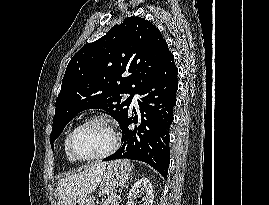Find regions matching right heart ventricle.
<instances>
[{
    "instance_id": "obj_1",
    "label": "right heart ventricle",
    "mask_w": 269,
    "mask_h": 205,
    "mask_svg": "<svg viewBox=\"0 0 269 205\" xmlns=\"http://www.w3.org/2000/svg\"><path fill=\"white\" fill-rule=\"evenodd\" d=\"M69 134H70V132H68L64 137L63 148H64V153H65L67 160H69L70 162H74L76 160L69 154L68 147H67Z\"/></svg>"
}]
</instances>
